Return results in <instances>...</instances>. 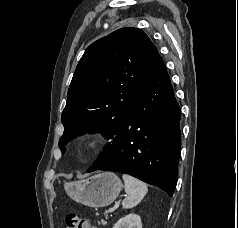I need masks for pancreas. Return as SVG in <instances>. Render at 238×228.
<instances>
[{"instance_id":"pancreas-1","label":"pancreas","mask_w":238,"mask_h":228,"mask_svg":"<svg viewBox=\"0 0 238 228\" xmlns=\"http://www.w3.org/2000/svg\"><path fill=\"white\" fill-rule=\"evenodd\" d=\"M106 219H108V217L106 216ZM107 222L105 220H101L100 222H98V224H102L105 225Z\"/></svg>"}]
</instances>
